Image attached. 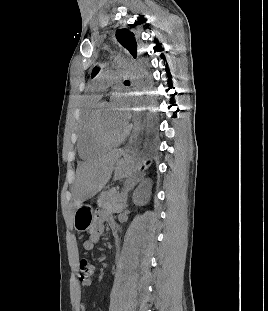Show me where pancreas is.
I'll list each match as a JSON object with an SVG mask.
<instances>
[{
  "mask_svg": "<svg viewBox=\"0 0 268 311\" xmlns=\"http://www.w3.org/2000/svg\"><path fill=\"white\" fill-rule=\"evenodd\" d=\"M98 206L113 213H120L125 208L126 198L116 190L105 192L98 199Z\"/></svg>",
  "mask_w": 268,
  "mask_h": 311,
  "instance_id": "obj_1",
  "label": "pancreas"
}]
</instances>
